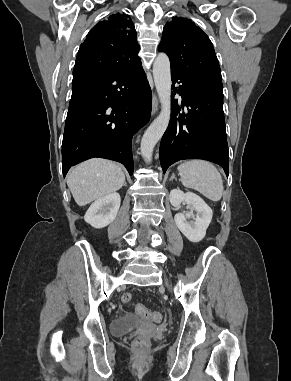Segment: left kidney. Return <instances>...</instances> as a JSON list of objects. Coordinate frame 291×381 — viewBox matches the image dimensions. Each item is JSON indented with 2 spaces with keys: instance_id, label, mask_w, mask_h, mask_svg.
<instances>
[{
  "instance_id": "5707ae66",
  "label": "left kidney",
  "mask_w": 291,
  "mask_h": 381,
  "mask_svg": "<svg viewBox=\"0 0 291 381\" xmlns=\"http://www.w3.org/2000/svg\"><path fill=\"white\" fill-rule=\"evenodd\" d=\"M169 200L172 206L179 208L181 203H186L193 212L177 213L174 217L176 226L182 234L191 242L201 241L205 235L206 230L212 220V209L205 203V201L193 192H186L179 189H173L170 192ZM193 218V221L188 222L187 219Z\"/></svg>"
}]
</instances>
